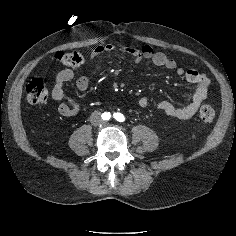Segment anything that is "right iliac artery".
<instances>
[{
  "label": "right iliac artery",
  "mask_w": 236,
  "mask_h": 236,
  "mask_svg": "<svg viewBox=\"0 0 236 236\" xmlns=\"http://www.w3.org/2000/svg\"><path fill=\"white\" fill-rule=\"evenodd\" d=\"M103 117H104L105 120L110 119V117H111L110 112L104 113V114H103Z\"/></svg>",
  "instance_id": "obj_1"
}]
</instances>
